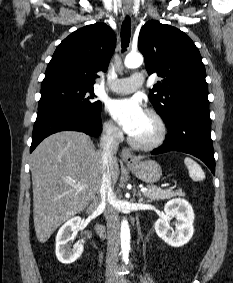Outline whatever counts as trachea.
Masks as SVG:
<instances>
[{"mask_svg": "<svg viewBox=\"0 0 233 283\" xmlns=\"http://www.w3.org/2000/svg\"><path fill=\"white\" fill-rule=\"evenodd\" d=\"M130 36H131V20L129 16H126L121 26L122 51H125L126 48L129 46Z\"/></svg>", "mask_w": 233, "mask_h": 283, "instance_id": "1", "label": "trachea"}]
</instances>
